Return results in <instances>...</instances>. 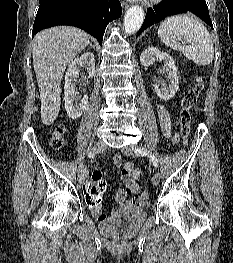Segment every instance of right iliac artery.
<instances>
[{"label": "right iliac artery", "instance_id": "obj_1", "mask_svg": "<svg viewBox=\"0 0 233 263\" xmlns=\"http://www.w3.org/2000/svg\"><path fill=\"white\" fill-rule=\"evenodd\" d=\"M92 156H93V154H92V152H90V153H89V157H92Z\"/></svg>", "mask_w": 233, "mask_h": 263}]
</instances>
